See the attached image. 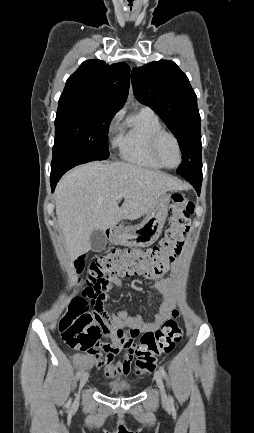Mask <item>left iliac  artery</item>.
<instances>
[{"label": "left iliac artery", "mask_w": 254, "mask_h": 433, "mask_svg": "<svg viewBox=\"0 0 254 433\" xmlns=\"http://www.w3.org/2000/svg\"><path fill=\"white\" fill-rule=\"evenodd\" d=\"M159 370H160L162 376L165 378L166 377V371H165V369L163 367H160ZM169 403L171 405L174 404V400H173L172 396H169Z\"/></svg>", "instance_id": "left-iliac-artery-1"}]
</instances>
